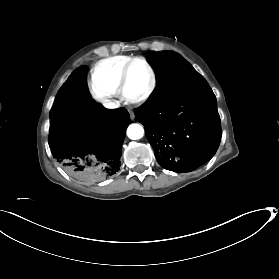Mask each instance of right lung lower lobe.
Here are the masks:
<instances>
[{
	"mask_svg": "<svg viewBox=\"0 0 279 279\" xmlns=\"http://www.w3.org/2000/svg\"><path fill=\"white\" fill-rule=\"evenodd\" d=\"M86 71V66L76 69L58 91L48 142L64 171L76 179L96 182L119 171L130 117L125 108L106 109L91 98Z\"/></svg>",
	"mask_w": 279,
	"mask_h": 279,
	"instance_id": "obj_1",
	"label": "right lung lower lobe"
}]
</instances>
